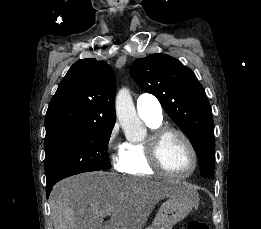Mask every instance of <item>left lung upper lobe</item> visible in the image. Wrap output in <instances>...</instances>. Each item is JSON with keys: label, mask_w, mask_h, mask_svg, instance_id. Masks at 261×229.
I'll use <instances>...</instances> for the list:
<instances>
[{"label": "left lung upper lobe", "mask_w": 261, "mask_h": 229, "mask_svg": "<svg viewBox=\"0 0 261 229\" xmlns=\"http://www.w3.org/2000/svg\"><path fill=\"white\" fill-rule=\"evenodd\" d=\"M130 74L142 90L153 94L189 138L200 163L201 176L212 178L214 123L202 85L191 69L162 53L135 60Z\"/></svg>", "instance_id": "obj_1"}]
</instances>
